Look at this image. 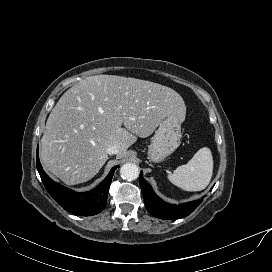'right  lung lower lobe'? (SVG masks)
Segmentation results:
<instances>
[{
  "label": "right lung lower lobe",
  "instance_id": "obj_1",
  "mask_svg": "<svg viewBox=\"0 0 272 272\" xmlns=\"http://www.w3.org/2000/svg\"><path fill=\"white\" fill-rule=\"evenodd\" d=\"M36 165L42 182L52 198L65 210L80 216L96 215L104 209L112 177L117 168V166L113 167L108 176L95 189L90 192L78 193L55 183L44 172L38 152Z\"/></svg>",
  "mask_w": 272,
  "mask_h": 272
}]
</instances>
